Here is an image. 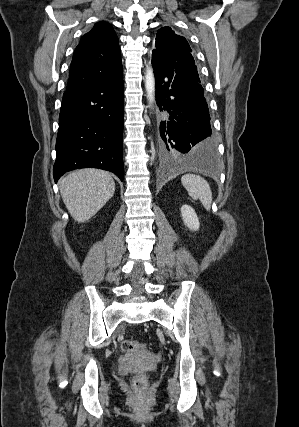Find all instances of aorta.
<instances>
[{"instance_id":"762f6f07","label":"aorta","mask_w":299,"mask_h":427,"mask_svg":"<svg viewBox=\"0 0 299 427\" xmlns=\"http://www.w3.org/2000/svg\"><path fill=\"white\" fill-rule=\"evenodd\" d=\"M145 89L147 93V99L149 101V106H152L155 100V77L153 70L150 67H147L145 73Z\"/></svg>"}]
</instances>
